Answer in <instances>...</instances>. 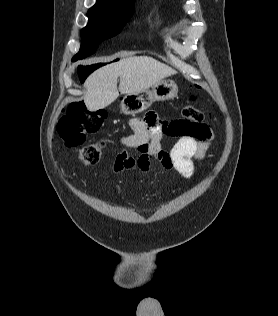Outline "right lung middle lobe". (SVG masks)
I'll list each match as a JSON object with an SVG mask.
<instances>
[{"instance_id": "right-lung-middle-lobe-1", "label": "right lung middle lobe", "mask_w": 278, "mask_h": 316, "mask_svg": "<svg viewBox=\"0 0 278 316\" xmlns=\"http://www.w3.org/2000/svg\"><path fill=\"white\" fill-rule=\"evenodd\" d=\"M133 7L129 8H99L89 9L88 24L81 30V48L72 61L83 59L97 49V44L118 34L133 14ZM80 68L79 74L85 78L92 70Z\"/></svg>"}]
</instances>
